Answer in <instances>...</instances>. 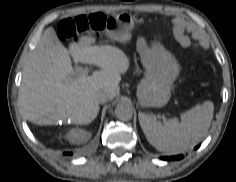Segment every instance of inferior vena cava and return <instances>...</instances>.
<instances>
[{"mask_svg": "<svg viewBox=\"0 0 236 182\" xmlns=\"http://www.w3.org/2000/svg\"><path fill=\"white\" fill-rule=\"evenodd\" d=\"M112 99V94L109 90H101L97 93V100L99 103H105Z\"/></svg>", "mask_w": 236, "mask_h": 182, "instance_id": "inferior-vena-cava-1", "label": "inferior vena cava"}]
</instances>
